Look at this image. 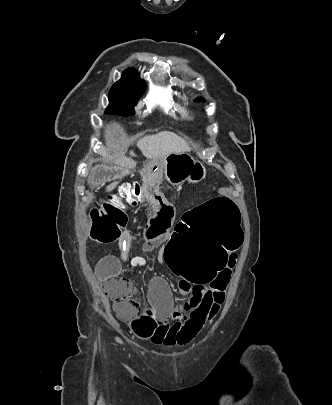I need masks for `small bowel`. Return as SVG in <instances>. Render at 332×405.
I'll use <instances>...</instances> for the list:
<instances>
[{"instance_id":"small-bowel-1","label":"small bowel","mask_w":332,"mask_h":405,"mask_svg":"<svg viewBox=\"0 0 332 405\" xmlns=\"http://www.w3.org/2000/svg\"><path fill=\"white\" fill-rule=\"evenodd\" d=\"M98 169L99 172H90L87 179L89 186H109L111 189L117 185L112 177H127L128 174L127 168H111L109 162H100ZM140 174V181L144 183V191L141 194L144 198L143 205L149 204L152 207L144 230V250L151 252L166 244V240H170L175 207L161 189L163 171L160 159H149ZM98 202L108 205L111 201L101 198ZM131 241V234L128 231L123 232L118 239L121 252L127 249ZM235 257L236 254L227 259L235 263ZM144 263L143 260H138L135 265ZM120 270L121 260L116 255L104 256L95 266L96 275L102 282ZM179 295V308H175L167 281L160 276H153L149 282L146 311H139L137 317L126 319L135 336L156 345L174 346L189 343L206 323L205 311L210 300V281L207 287H192L191 281H180Z\"/></svg>"}]
</instances>
